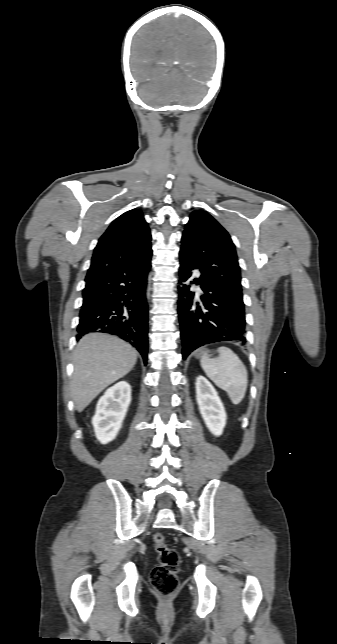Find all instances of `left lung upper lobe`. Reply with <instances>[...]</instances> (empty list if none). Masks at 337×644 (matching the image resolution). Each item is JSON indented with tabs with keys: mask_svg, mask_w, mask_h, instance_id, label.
Segmentation results:
<instances>
[{
	"mask_svg": "<svg viewBox=\"0 0 337 644\" xmlns=\"http://www.w3.org/2000/svg\"><path fill=\"white\" fill-rule=\"evenodd\" d=\"M180 258L190 261L243 302L240 267L228 232L207 212L195 210L182 235Z\"/></svg>",
	"mask_w": 337,
	"mask_h": 644,
	"instance_id": "5c2ea615",
	"label": "left lung upper lobe"
}]
</instances>
